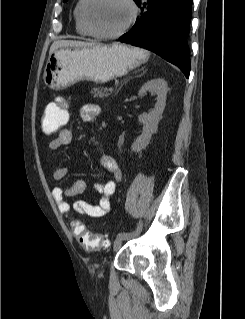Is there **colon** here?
I'll return each mask as SVG.
<instances>
[{
    "mask_svg": "<svg viewBox=\"0 0 245 319\" xmlns=\"http://www.w3.org/2000/svg\"><path fill=\"white\" fill-rule=\"evenodd\" d=\"M66 120L67 110L60 102H58L46 108L41 119L42 128L46 133L52 134L59 131ZM71 227L78 243L87 250H97L107 244L103 235L89 232L77 220L71 221Z\"/></svg>",
    "mask_w": 245,
    "mask_h": 319,
    "instance_id": "1",
    "label": "colon"
}]
</instances>
